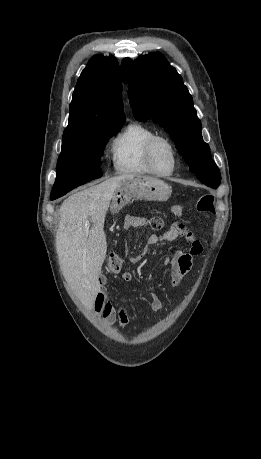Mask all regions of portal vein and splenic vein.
Segmentation results:
<instances>
[{"label":"portal vein and splenic vein","mask_w":261,"mask_h":459,"mask_svg":"<svg viewBox=\"0 0 261 459\" xmlns=\"http://www.w3.org/2000/svg\"><path fill=\"white\" fill-rule=\"evenodd\" d=\"M89 227H90V221L88 220V221H86V223H85V228L88 229Z\"/></svg>","instance_id":"portal-vein-and-splenic-vein-1"}]
</instances>
